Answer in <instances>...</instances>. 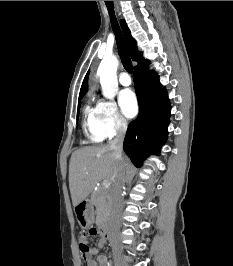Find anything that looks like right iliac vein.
Here are the masks:
<instances>
[{
  "label": "right iliac vein",
  "instance_id": "right-iliac-vein-1",
  "mask_svg": "<svg viewBox=\"0 0 233 266\" xmlns=\"http://www.w3.org/2000/svg\"><path fill=\"white\" fill-rule=\"evenodd\" d=\"M114 257H115V260L118 263V266H120V263H119V255L116 252L114 253Z\"/></svg>",
  "mask_w": 233,
  "mask_h": 266
}]
</instances>
